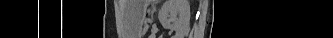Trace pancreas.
I'll list each match as a JSON object with an SVG mask.
<instances>
[{
    "label": "pancreas",
    "mask_w": 333,
    "mask_h": 38,
    "mask_svg": "<svg viewBox=\"0 0 333 38\" xmlns=\"http://www.w3.org/2000/svg\"><path fill=\"white\" fill-rule=\"evenodd\" d=\"M146 30H147V27H146V25H145V32H146Z\"/></svg>",
    "instance_id": "pancreas-1"
}]
</instances>
